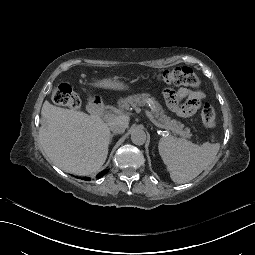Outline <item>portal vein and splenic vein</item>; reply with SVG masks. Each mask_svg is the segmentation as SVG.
<instances>
[{
	"label": "portal vein and splenic vein",
	"mask_w": 255,
	"mask_h": 255,
	"mask_svg": "<svg viewBox=\"0 0 255 255\" xmlns=\"http://www.w3.org/2000/svg\"><path fill=\"white\" fill-rule=\"evenodd\" d=\"M142 112L145 113V115H148L150 118V123L154 125L159 131H162L163 129H168V131H173V126H168V124H161L159 121H157L153 116L145 110V108H142ZM125 114V111L123 109H114L112 111L105 112L101 115V118L103 120H106L108 118H114L116 116H123ZM174 133H179V136L181 138H186V133L184 131H179V128H174Z\"/></svg>",
	"instance_id": "18ae733b"
}]
</instances>
